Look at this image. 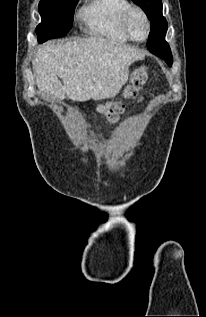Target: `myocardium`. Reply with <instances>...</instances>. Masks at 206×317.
<instances>
[{"mask_svg":"<svg viewBox=\"0 0 206 317\" xmlns=\"http://www.w3.org/2000/svg\"><path fill=\"white\" fill-rule=\"evenodd\" d=\"M134 13H139L146 24V35L143 39H138L136 37H134V35L132 34L130 28H129V21L131 16ZM121 28L123 30V32L125 33V35L132 41L135 42H144L145 40L148 39L149 35H150V31H151V24H150V19L146 13V11L140 7V6H135V5H131L123 14L122 19H121Z\"/></svg>","mask_w":206,"mask_h":317,"instance_id":"1","label":"myocardium"}]
</instances>
